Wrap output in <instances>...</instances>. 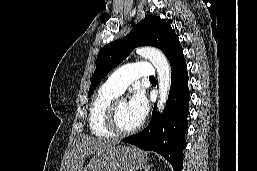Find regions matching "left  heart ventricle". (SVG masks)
<instances>
[{
	"mask_svg": "<svg viewBox=\"0 0 257 171\" xmlns=\"http://www.w3.org/2000/svg\"><path fill=\"white\" fill-rule=\"evenodd\" d=\"M117 120L122 129H130L140 123V120L133 113L129 102L121 101L117 108Z\"/></svg>",
	"mask_w": 257,
	"mask_h": 171,
	"instance_id": "1",
	"label": "left heart ventricle"
}]
</instances>
